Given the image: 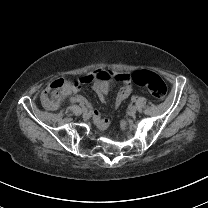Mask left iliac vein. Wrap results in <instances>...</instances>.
Returning a JSON list of instances; mask_svg holds the SVG:
<instances>
[{
	"mask_svg": "<svg viewBox=\"0 0 208 208\" xmlns=\"http://www.w3.org/2000/svg\"><path fill=\"white\" fill-rule=\"evenodd\" d=\"M136 111H137L136 106H129L128 107V113H129V115H134L136 113Z\"/></svg>",
	"mask_w": 208,
	"mask_h": 208,
	"instance_id": "4c4485c4",
	"label": "left iliac vein"
}]
</instances>
